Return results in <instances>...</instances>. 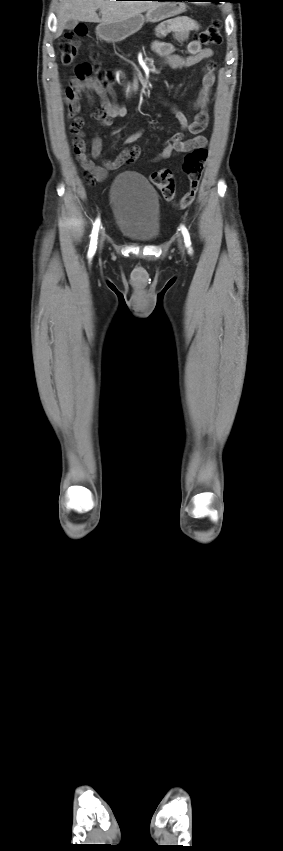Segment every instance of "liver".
<instances>
[{
	"instance_id": "obj_1",
	"label": "liver",
	"mask_w": 283,
	"mask_h": 851,
	"mask_svg": "<svg viewBox=\"0 0 283 851\" xmlns=\"http://www.w3.org/2000/svg\"><path fill=\"white\" fill-rule=\"evenodd\" d=\"M156 1L62 0L57 11L59 36L69 20L94 23H116L155 8ZM100 9L101 19L96 11Z\"/></svg>"
}]
</instances>
